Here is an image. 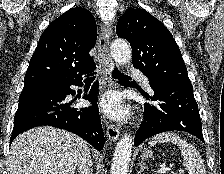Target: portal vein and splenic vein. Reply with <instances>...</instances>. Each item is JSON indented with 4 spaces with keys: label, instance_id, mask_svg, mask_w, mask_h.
<instances>
[{
    "label": "portal vein and splenic vein",
    "instance_id": "portal-vein-and-splenic-vein-1",
    "mask_svg": "<svg viewBox=\"0 0 224 174\" xmlns=\"http://www.w3.org/2000/svg\"><path fill=\"white\" fill-rule=\"evenodd\" d=\"M169 170H171V169L168 168V167H165V166H161V167L158 169V173H160V174H164V173L168 172ZM180 173H183V171H181Z\"/></svg>",
    "mask_w": 224,
    "mask_h": 174
}]
</instances>
